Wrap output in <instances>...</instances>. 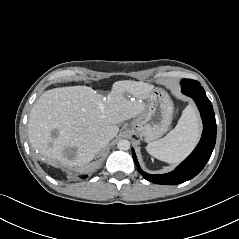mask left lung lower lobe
Segmentation results:
<instances>
[{"mask_svg":"<svg viewBox=\"0 0 239 239\" xmlns=\"http://www.w3.org/2000/svg\"><path fill=\"white\" fill-rule=\"evenodd\" d=\"M182 93L195 101L203 121V133L195 150L172 172L163 175H151L143 172L134 150L133 159L139 173L148 181L156 184L175 185L195 177L208 162L216 142V121L212 104L200 84L181 85Z\"/></svg>","mask_w":239,"mask_h":239,"instance_id":"0a47b994","label":"left lung lower lobe"}]
</instances>
